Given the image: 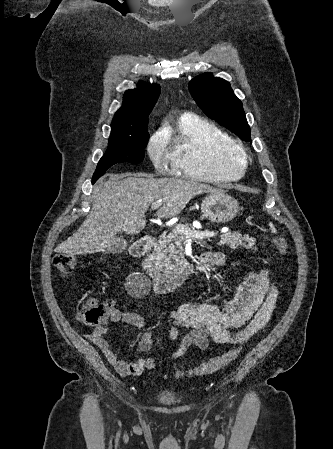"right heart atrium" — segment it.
Segmentation results:
<instances>
[{
	"label": "right heart atrium",
	"mask_w": 333,
	"mask_h": 449,
	"mask_svg": "<svg viewBox=\"0 0 333 449\" xmlns=\"http://www.w3.org/2000/svg\"><path fill=\"white\" fill-rule=\"evenodd\" d=\"M147 153L158 170H163L170 161V154L167 150V141L163 135L156 133L151 136L148 145Z\"/></svg>",
	"instance_id": "obj_1"
}]
</instances>
